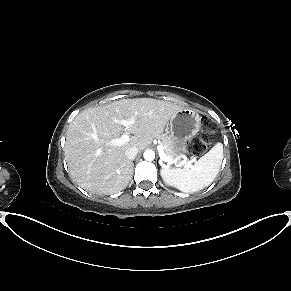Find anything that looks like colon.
I'll list each match as a JSON object with an SVG mask.
<instances>
[{
	"mask_svg": "<svg viewBox=\"0 0 291 291\" xmlns=\"http://www.w3.org/2000/svg\"><path fill=\"white\" fill-rule=\"evenodd\" d=\"M215 131L213 121L204 120L202 123V135L199 138L191 139L187 144V150L193 155H200L205 152L211 142V134Z\"/></svg>",
	"mask_w": 291,
	"mask_h": 291,
	"instance_id": "obj_1",
	"label": "colon"
}]
</instances>
